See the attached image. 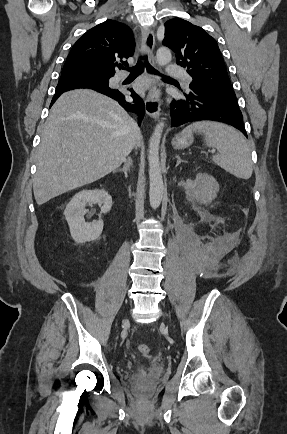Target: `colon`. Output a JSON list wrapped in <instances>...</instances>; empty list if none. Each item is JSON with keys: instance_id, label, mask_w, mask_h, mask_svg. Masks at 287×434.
Instances as JSON below:
<instances>
[{"instance_id": "obj_1", "label": "colon", "mask_w": 287, "mask_h": 434, "mask_svg": "<svg viewBox=\"0 0 287 434\" xmlns=\"http://www.w3.org/2000/svg\"><path fill=\"white\" fill-rule=\"evenodd\" d=\"M138 351L143 355V356H147L150 353V348L147 344H139L137 346Z\"/></svg>"}]
</instances>
